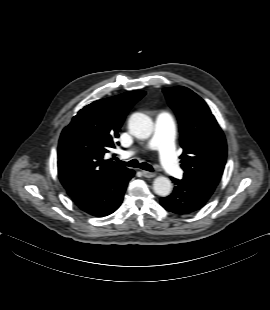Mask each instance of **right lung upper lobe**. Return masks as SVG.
I'll return each mask as SVG.
<instances>
[{
	"label": "right lung upper lobe",
	"instance_id": "right-lung-upper-lobe-1",
	"mask_svg": "<svg viewBox=\"0 0 270 310\" xmlns=\"http://www.w3.org/2000/svg\"><path fill=\"white\" fill-rule=\"evenodd\" d=\"M145 92L135 90L95 101L62 131L58 146V175L65 189L92 184L126 167L104 160L115 147L130 108Z\"/></svg>",
	"mask_w": 270,
	"mask_h": 310
}]
</instances>
